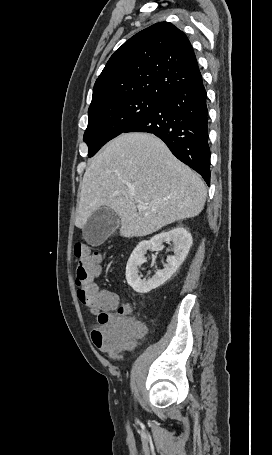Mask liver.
I'll return each instance as SVG.
<instances>
[{
    "mask_svg": "<svg viewBox=\"0 0 272 455\" xmlns=\"http://www.w3.org/2000/svg\"><path fill=\"white\" fill-rule=\"evenodd\" d=\"M80 190L75 225L83 228L93 212L109 207L126 238L199 215L207 196L201 177L148 133H123L111 140L91 160ZM138 203L145 209L139 210Z\"/></svg>",
    "mask_w": 272,
    "mask_h": 455,
    "instance_id": "obj_1",
    "label": "liver"
}]
</instances>
